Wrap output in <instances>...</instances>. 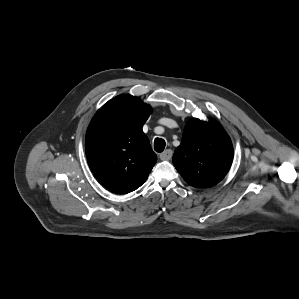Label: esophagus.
Masks as SVG:
<instances>
[{
  "label": "esophagus",
  "mask_w": 299,
  "mask_h": 299,
  "mask_svg": "<svg viewBox=\"0 0 299 299\" xmlns=\"http://www.w3.org/2000/svg\"><path fill=\"white\" fill-rule=\"evenodd\" d=\"M173 151L171 149H167L164 152H162L159 157L161 160H170L172 158Z\"/></svg>",
  "instance_id": "obj_1"
}]
</instances>
